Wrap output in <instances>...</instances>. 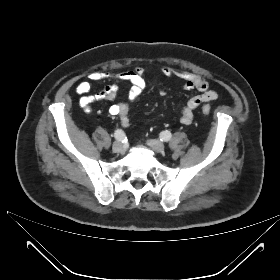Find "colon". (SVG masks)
Here are the masks:
<instances>
[{
    "instance_id": "obj_1",
    "label": "colon",
    "mask_w": 280,
    "mask_h": 280,
    "mask_svg": "<svg viewBox=\"0 0 280 280\" xmlns=\"http://www.w3.org/2000/svg\"><path fill=\"white\" fill-rule=\"evenodd\" d=\"M210 111H211L210 107L204 106V107L202 108V112H203L204 114H209Z\"/></svg>"
}]
</instances>
